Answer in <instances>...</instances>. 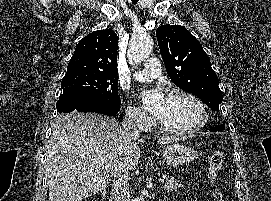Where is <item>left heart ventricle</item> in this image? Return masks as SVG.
<instances>
[{"label": "left heart ventricle", "instance_id": "b2bd125f", "mask_svg": "<svg viewBox=\"0 0 271 201\" xmlns=\"http://www.w3.org/2000/svg\"><path fill=\"white\" fill-rule=\"evenodd\" d=\"M162 124L175 131H183L195 126L200 120L196 105L183 97L166 98L160 118Z\"/></svg>", "mask_w": 271, "mask_h": 201}]
</instances>
